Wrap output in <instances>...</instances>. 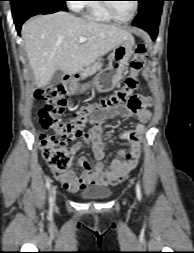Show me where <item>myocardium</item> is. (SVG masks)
Masks as SVG:
<instances>
[{
	"label": "myocardium",
	"instance_id": "1",
	"mask_svg": "<svg viewBox=\"0 0 194 253\" xmlns=\"http://www.w3.org/2000/svg\"><path fill=\"white\" fill-rule=\"evenodd\" d=\"M108 0H105V2L102 3L103 8L105 9V11L108 13V15L114 20L117 21L119 23H127L130 22L136 15L138 8H139V3L137 0H134V9L133 12L131 14V16L127 19H121L119 18L113 11L111 5L109 2H107Z\"/></svg>",
	"mask_w": 194,
	"mask_h": 253
}]
</instances>
